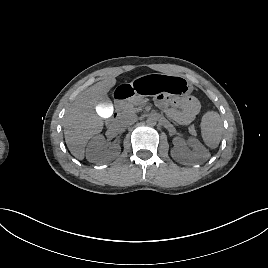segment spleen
Here are the masks:
<instances>
[{
	"label": "spleen",
	"mask_w": 268,
	"mask_h": 268,
	"mask_svg": "<svg viewBox=\"0 0 268 268\" xmlns=\"http://www.w3.org/2000/svg\"><path fill=\"white\" fill-rule=\"evenodd\" d=\"M222 131L220 115L215 111L206 112L201 121V134L205 144L210 148L218 147Z\"/></svg>",
	"instance_id": "3e777b00"
}]
</instances>
